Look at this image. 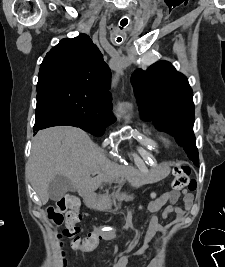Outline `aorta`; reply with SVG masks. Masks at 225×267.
I'll return each mask as SVG.
<instances>
[{"label": "aorta", "mask_w": 225, "mask_h": 267, "mask_svg": "<svg viewBox=\"0 0 225 267\" xmlns=\"http://www.w3.org/2000/svg\"><path fill=\"white\" fill-rule=\"evenodd\" d=\"M121 68H122V66H121ZM118 75H119V70H117V72H116L115 80H117Z\"/></svg>", "instance_id": "obj_1"}]
</instances>
